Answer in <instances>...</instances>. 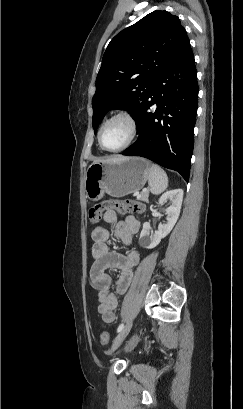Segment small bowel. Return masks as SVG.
Here are the masks:
<instances>
[{"label": "small bowel", "mask_w": 243, "mask_h": 409, "mask_svg": "<svg viewBox=\"0 0 243 409\" xmlns=\"http://www.w3.org/2000/svg\"><path fill=\"white\" fill-rule=\"evenodd\" d=\"M103 221L127 247L124 254L111 250L108 246L110 230L107 227L97 226L91 232L94 262L89 272L90 281L98 293V313L103 322L113 323L116 319L118 301L116 295L111 291L112 277L107 273V270L120 271L116 292L124 294L132 281L133 269L140 260L138 251L132 246L133 237L138 233L140 224L133 216L118 220L117 214L113 210L104 212Z\"/></svg>", "instance_id": "obj_1"}]
</instances>
